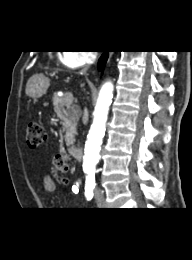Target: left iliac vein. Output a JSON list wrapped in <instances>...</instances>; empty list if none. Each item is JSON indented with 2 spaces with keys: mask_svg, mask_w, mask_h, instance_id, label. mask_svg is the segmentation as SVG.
Here are the masks:
<instances>
[{
  "mask_svg": "<svg viewBox=\"0 0 192 260\" xmlns=\"http://www.w3.org/2000/svg\"><path fill=\"white\" fill-rule=\"evenodd\" d=\"M95 198H96V203H97V206L99 208H105L106 207V201H105V198H104V195L102 192H96V195H95Z\"/></svg>",
  "mask_w": 192,
  "mask_h": 260,
  "instance_id": "4c4485c4",
  "label": "left iliac vein"
}]
</instances>
